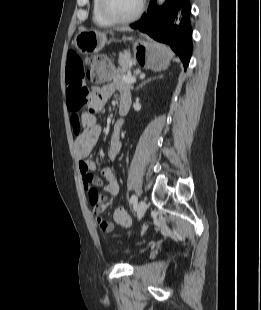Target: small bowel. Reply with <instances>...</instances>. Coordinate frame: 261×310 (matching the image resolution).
<instances>
[{
	"mask_svg": "<svg viewBox=\"0 0 261 310\" xmlns=\"http://www.w3.org/2000/svg\"><path fill=\"white\" fill-rule=\"evenodd\" d=\"M65 82L67 104L72 112V131L75 137L74 145L78 157V168L84 187L90 192L92 185L100 182L95 175V171L98 168L97 163L89 158L100 135V126L97 122L96 115L103 109L106 99L115 91H121L122 96L125 95L130 97V94L120 73H117L112 82L102 87L94 88L91 91L88 108L79 114L82 103L88 94V90L84 83L82 61L75 52L68 53ZM122 125V120H117L114 124L107 151L110 160H114L121 149ZM101 177L104 190L109 198L104 203L92 205V212L97 222L103 220L101 214L111 203V198L116 197L120 192L118 180L110 168H103L101 170Z\"/></svg>",
	"mask_w": 261,
	"mask_h": 310,
	"instance_id": "small-bowel-1",
	"label": "small bowel"
}]
</instances>
